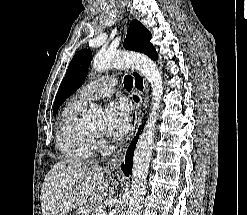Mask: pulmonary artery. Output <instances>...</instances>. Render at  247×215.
Segmentation results:
<instances>
[{
	"instance_id": "pulmonary-artery-1",
	"label": "pulmonary artery",
	"mask_w": 247,
	"mask_h": 215,
	"mask_svg": "<svg viewBox=\"0 0 247 215\" xmlns=\"http://www.w3.org/2000/svg\"><path fill=\"white\" fill-rule=\"evenodd\" d=\"M116 83L117 79L113 76L95 79L81 89L76 101L86 105L91 101L109 97L114 93Z\"/></svg>"
}]
</instances>
